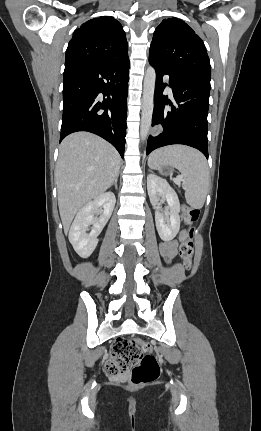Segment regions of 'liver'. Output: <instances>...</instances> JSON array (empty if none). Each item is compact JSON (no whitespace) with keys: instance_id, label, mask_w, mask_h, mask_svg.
<instances>
[{"instance_id":"obj_1","label":"liver","mask_w":261,"mask_h":431,"mask_svg":"<svg viewBox=\"0 0 261 431\" xmlns=\"http://www.w3.org/2000/svg\"><path fill=\"white\" fill-rule=\"evenodd\" d=\"M120 161L117 150L92 133L76 132L62 141L55 179L65 233L76 213L111 186L118 175Z\"/></svg>"}]
</instances>
